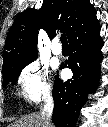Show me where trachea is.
<instances>
[{"mask_svg":"<svg viewBox=\"0 0 108 127\" xmlns=\"http://www.w3.org/2000/svg\"><path fill=\"white\" fill-rule=\"evenodd\" d=\"M60 40H61L62 45H68V42H67L65 34L61 35Z\"/></svg>","mask_w":108,"mask_h":127,"instance_id":"1","label":"trachea"}]
</instances>
